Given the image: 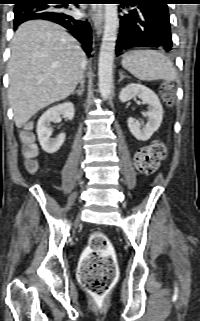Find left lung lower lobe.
<instances>
[{
    "instance_id": "obj_1",
    "label": "left lung lower lobe",
    "mask_w": 200,
    "mask_h": 321,
    "mask_svg": "<svg viewBox=\"0 0 200 321\" xmlns=\"http://www.w3.org/2000/svg\"><path fill=\"white\" fill-rule=\"evenodd\" d=\"M131 9L120 17L116 54L133 47L172 49L167 4L172 0H119Z\"/></svg>"
}]
</instances>
